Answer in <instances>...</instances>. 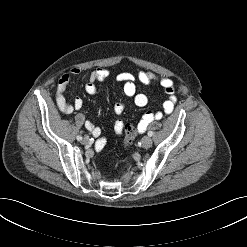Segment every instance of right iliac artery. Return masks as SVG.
Masks as SVG:
<instances>
[{
  "label": "right iliac artery",
  "instance_id": "1",
  "mask_svg": "<svg viewBox=\"0 0 247 247\" xmlns=\"http://www.w3.org/2000/svg\"><path fill=\"white\" fill-rule=\"evenodd\" d=\"M76 138L78 141L82 140V137L80 135H78Z\"/></svg>",
  "mask_w": 247,
  "mask_h": 247
}]
</instances>
